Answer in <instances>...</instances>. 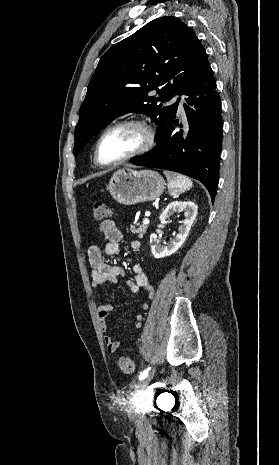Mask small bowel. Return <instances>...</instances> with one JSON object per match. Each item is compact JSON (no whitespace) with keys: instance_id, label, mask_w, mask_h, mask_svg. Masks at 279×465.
<instances>
[{"instance_id":"obj_1","label":"small bowel","mask_w":279,"mask_h":465,"mask_svg":"<svg viewBox=\"0 0 279 465\" xmlns=\"http://www.w3.org/2000/svg\"><path fill=\"white\" fill-rule=\"evenodd\" d=\"M99 230L106 238L104 253L109 256L120 254L122 234L116 227L115 223L112 220H104L100 223ZM130 247L135 254H139L142 249V244L138 240H133L130 243ZM87 253L91 268V283L94 288L116 284L118 282V278L124 276L125 269L123 266L111 265L104 262L103 252L99 246L95 244L89 245ZM132 271L134 274V279L127 282L130 292L138 293L141 289H145L149 292V297L151 298L153 295V288L149 283V279L144 267L140 263H135L132 266ZM148 307V302L143 303L144 309H147ZM113 309L114 306L110 302L101 304L97 309L100 328L105 334L104 342L106 349L110 354L115 353L120 345L118 340L106 334L108 330L107 320ZM142 321L143 316L138 314L136 316L135 323L136 329H140L142 327Z\"/></svg>"}]
</instances>
